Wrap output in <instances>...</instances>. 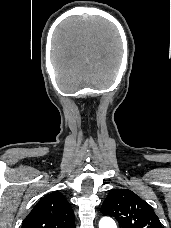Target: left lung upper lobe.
<instances>
[{"label":"left lung upper lobe","mask_w":171,"mask_h":228,"mask_svg":"<svg viewBox=\"0 0 171 228\" xmlns=\"http://www.w3.org/2000/svg\"><path fill=\"white\" fill-rule=\"evenodd\" d=\"M101 212L114 217L122 228H162L152 208L128 189L112 190L102 204Z\"/></svg>","instance_id":"1"}]
</instances>
